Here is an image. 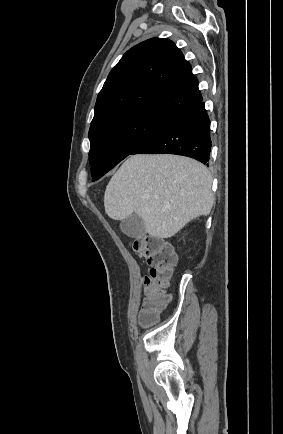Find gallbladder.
Instances as JSON below:
<instances>
[{"label": "gallbladder", "mask_w": 283, "mask_h": 434, "mask_svg": "<svg viewBox=\"0 0 283 434\" xmlns=\"http://www.w3.org/2000/svg\"><path fill=\"white\" fill-rule=\"evenodd\" d=\"M121 230L131 238H140L146 234L145 224L136 214L130 215L120 223Z\"/></svg>", "instance_id": "1"}]
</instances>
